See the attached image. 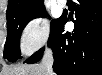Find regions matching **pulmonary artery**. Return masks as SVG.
<instances>
[{
    "mask_svg": "<svg viewBox=\"0 0 102 75\" xmlns=\"http://www.w3.org/2000/svg\"><path fill=\"white\" fill-rule=\"evenodd\" d=\"M65 2H66V0H59V1H58V3H59L60 5H64Z\"/></svg>",
    "mask_w": 102,
    "mask_h": 75,
    "instance_id": "e3ab8cb5",
    "label": "pulmonary artery"
}]
</instances>
